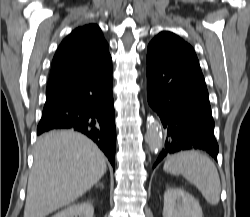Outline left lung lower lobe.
<instances>
[{
    "instance_id": "left-lung-lower-lobe-1",
    "label": "left lung lower lobe",
    "mask_w": 250,
    "mask_h": 217,
    "mask_svg": "<svg viewBox=\"0 0 250 217\" xmlns=\"http://www.w3.org/2000/svg\"><path fill=\"white\" fill-rule=\"evenodd\" d=\"M147 99L166 129L167 138L155 167L164 157L202 149L217 160L208 91L198 59L148 45Z\"/></svg>"
}]
</instances>
